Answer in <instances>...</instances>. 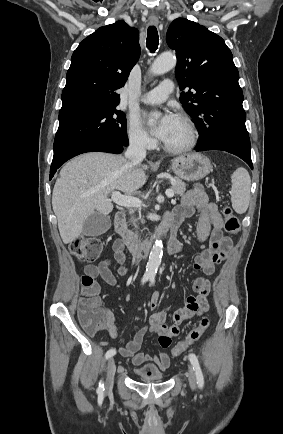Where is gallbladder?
I'll return each mask as SVG.
<instances>
[{
	"label": "gallbladder",
	"mask_w": 283,
	"mask_h": 434,
	"mask_svg": "<svg viewBox=\"0 0 283 434\" xmlns=\"http://www.w3.org/2000/svg\"><path fill=\"white\" fill-rule=\"evenodd\" d=\"M110 226L111 220L109 216L95 212L85 220L82 234L85 236H99L105 233Z\"/></svg>",
	"instance_id": "gallbladder-1"
}]
</instances>
